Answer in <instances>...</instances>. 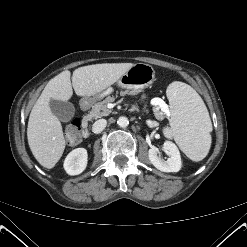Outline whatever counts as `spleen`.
Instances as JSON below:
<instances>
[{"instance_id":"spleen-1","label":"spleen","mask_w":247,"mask_h":247,"mask_svg":"<svg viewBox=\"0 0 247 247\" xmlns=\"http://www.w3.org/2000/svg\"><path fill=\"white\" fill-rule=\"evenodd\" d=\"M172 111L166 136L173 137L181 150L193 161L204 159L211 147L212 123L200 95L188 84L175 81L167 88Z\"/></svg>"}]
</instances>
